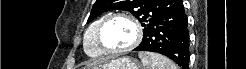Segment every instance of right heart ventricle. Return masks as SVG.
I'll return each mask as SVG.
<instances>
[{
	"mask_svg": "<svg viewBox=\"0 0 246 69\" xmlns=\"http://www.w3.org/2000/svg\"><path fill=\"white\" fill-rule=\"evenodd\" d=\"M106 16L107 14H102L97 17L85 31L84 49L85 52L92 57L100 56L103 53L96 40V30Z\"/></svg>",
	"mask_w": 246,
	"mask_h": 69,
	"instance_id": "1",
	"label": "right heart ventricle"
}]
</instances>
